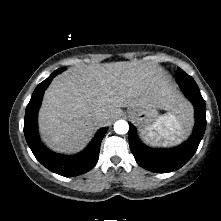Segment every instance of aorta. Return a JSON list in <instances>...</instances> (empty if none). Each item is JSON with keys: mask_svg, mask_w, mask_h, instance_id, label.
Masks as SVG:
<instances>
[{"mask_svg": "<svg viewBox=\"0 0 221 221\" xmlns=\"http://www.w3.org/2000/svg\"><path fill=\"white\" fill-rule=\"evenodd\" d=\"M129 130L128 122L125 120H118L114 124V131L117 134H126Z\"/></svg>", "mask_w": 221, "mask_h": 221, "instance_id": "762f6f07", "label": "aorta"}]
</instances>
